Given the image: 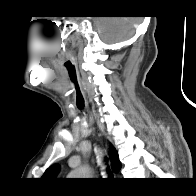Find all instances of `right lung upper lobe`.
Segmentation results:
<instances>
[{"instance_id": "right-lung-upper-lobe-1", "label": "right lung upper lobe", "mask_w": 196, "mask_h": 196, "mask_svg": "<svg viewBox=\"0 0 196 196\" xmlns=\"http://www.w3.org/2000/svg\"><path fill=\"white\" fill-rule=\"evenodd\" d=\"M110 158H111L112 168L115 171H119L121 168V163L118 158V152L113 146L110 148ZM59 170H60V166L58 164L52 165L45 171L42 178L54 179L58 174Z\"/></svg>"}]
</instances>
